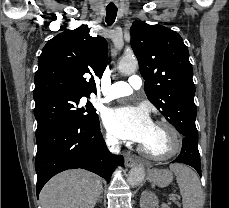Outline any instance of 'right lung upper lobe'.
<instances>
[{"mask_svg": "<svg viewBox=\"0 0 229 208\" xmlns=\"http://www.w3.org/2000/svg\"><path fill=\"white\" fill-rule=\"evenodd\" d=\"M107 53L106 40L90 36L86 25L56 35L39 56L35 101L58 94L83 97L96 94L94 76L101 77L104 72Z\"/></svg>", "mask_w": 229, "mask_h": 208, "instance_id": "right-lung-upper-lobe-1", "label": "right lung upper lobe"}]
</instances>
